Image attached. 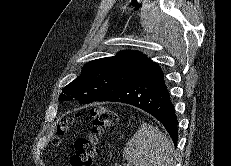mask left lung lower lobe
I'll return each mask as SVG.
<instances>
[{
    "label": "left lung lower lobe",
    "mask_w": 231,
    "mask_h": 166,
    "mask_svg": "<svg viewBox=\"0 0 231 166\" xmlns=\"http://www.w3.org/2000/svg\"><path fill=\"white\" fill-rule=\"evenodd\" d=\"M96 101L121 102L136 106L159 120L174 144L178 141V121L160 66L152 62L131 79Z\"/></svg>",
    "instance_id": "left-lung-lower-lobe-1"
}]
</instances>
